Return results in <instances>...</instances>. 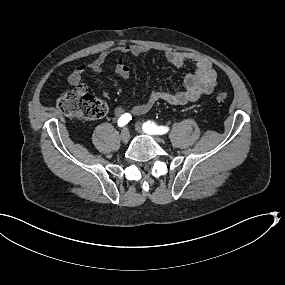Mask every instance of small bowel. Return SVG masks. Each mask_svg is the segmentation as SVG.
<instances>
[{
	"instance_id": "1",
	"label": "small bowel",
	"mask_w": 285,
	"mask_h": 285,
	"mask_svg": "<svg viewBox=\"0 0 285 285\" xmlns=\"http://www.w3.org/2000/svg\"><path fill=\"white\" fill-rule=\"evenodd\" d=\"M112 52L122 54H131L135 57L141 56L147 52V48L138 44H119L112 50L102 52L96 59L88 65H80L75 68L69 76V83L75 90L87 91V85L83 80V76L87 72L99 73ZM165 57L169 63L175 67H181L187 62H191L195 66L193 73L187 74L184 79V86L176 92H165L152 90L146 101L135 104L132 108L134 115H142L148 112L157 102L165 101L172 105H184L194 102L202 96L210 94L217 85V72L211 61L205 57L191 53L180 51H167ZM116 72L126 79L130 75L129 67L122 60L116 63ZM104 97L108 98L109 93L104 92ZM126 110L123 107L115 109L116 116H122Z\"/></svg>"
}]
</instances>
